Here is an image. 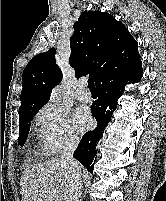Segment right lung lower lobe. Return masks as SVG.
I'll return each instance as SVG.
<instances>
[{
    "mask_svg": "<svg viewBox=\"0 0 166 201\" xmlns=\"http://www.w3.org/2000/svg\"><path fill=\"white\" fill-rule=\"evenodd\" d=\"M142 74V62L139 58L128 66L107 72L96 85L99 96L91 109L92 115L97 119V128L84 134L73 155L88 171H93L96 143L111 120L125 85L139 82Z\"/></svg>",
    "mask_w": 166,
    "mask_h": 201,
    "instance_id": "1",
    "label": "right lung lower lobe"
}]
</instances>
